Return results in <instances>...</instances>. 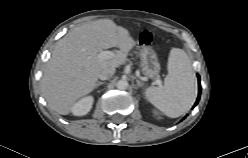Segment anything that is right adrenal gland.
Returning a JSON list of instances; mask_svg holds the SVG:
<instances>
[{"mask_svg": "<svg viewBox=\"0 0 248 158\" xmlns=\"http://www.w3.org/2000/svg\"><path fill=\"white\" fill-rule=\"evenodd\" d=\"M105 82H101V81H98L97 83H96V85H95V88H98V86H100V85H102V84H104Z\"/></svg>", "mask_w": 248, "mask_h": 158, "instance_id": "obj_1", "label": "right adrenal gland"}]
</instances>
